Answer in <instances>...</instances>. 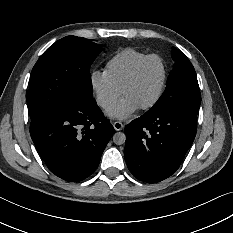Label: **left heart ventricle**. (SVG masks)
<instances>
[{
	"label": "left heart ventricle",
	"mask_w": 233,
	"mask_h": 233,
	"mask_svg": "<svg viewBox=\"0 0 233 233\" xmlns=\"http://www.w3.org/2000/svg\"><path fill=\"white\" fill-rule=\"evenodd\" d=\"M164 77L161 60H150L136 81L126 90L124 96L132 98L140 107L148 105L157 96Z\"/></svg>",
	"instance_id": "left-heart-ventricle-1"
}]
</instances>
